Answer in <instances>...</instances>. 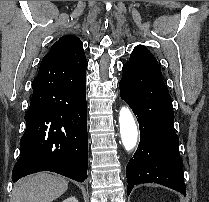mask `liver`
Segmentation results:
<instances>
[{
  "label": "liver",
  "instance_id": "liver-1",
  "mask_svg": "<svg viewBox=\"0 0 209 202\" xmlns=\"http://www.w3.org/2000/svg\"><path fill=\"white\" fill-rule=\"evenodd\" d=\"M68 189V181L49 173L21 179L12 191L11 202H52Z\"/></svg>",
  "mask_w": 209,
  "mask_h": 202
}]
</instances>
